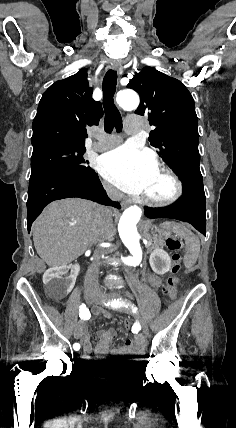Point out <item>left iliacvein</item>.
I'll list each match as a JSON object with an SVG mask.
<instances>
[{"instance_id":"obj_1","label":"left iliac vein","mask_w":236,"mask_h":428,"mask_svg":"<svg viewBox=\"0 0 236 428\" xmlns=\"http://www.w3.org/2000/svg\"><path fill=\"white\" fill-rule=\"evenodd\" d=\"M102 299L103 301L104 300H113V299H119L120 301H122L123 299H122V297L120 296H118V294H106L105 292H98V296H96V299ZM111 298V299H110ZM126 304L129 302L127 299L124 301ZM132 307H135V304H132ZM137 322L139 323V324H141V326H142V332L143 333H146L147 332V329H146V324H144L143 322H142V319L141 318H138L137 319Z\"/></svg>"}]
</instances>
